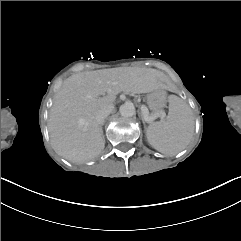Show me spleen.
<instances>
[{"mask_svg":"<svg viewBox=\"0 0 241 241\" xmlns=\"http://www.w3.org/2000/svg\"><path fill=\"white\" fill-rule=\"evenodd\" d=\"M167 106V121L150 124L146 136L154 149L174 156L189 144L194 131V119L190 106L181 97H172Z\"/></svg>","mask_w":241,"mask_h":241,"instance_id":"3e777b00","label":"spleen"}]
</instances>
